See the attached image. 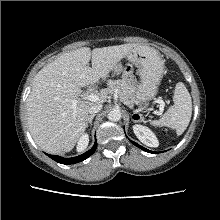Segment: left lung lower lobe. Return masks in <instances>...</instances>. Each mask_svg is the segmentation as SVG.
I'll return each instance as SVG.
<instances>
[{"instance_id": "0a47b994", "label": "left lung lower lobe", "mask_w": 220, "mask_h": 220, "mask_svg": "<svg viewBox=\"0 0 220 220\" xmlns=\"http://www.w3.org/2000/svg\"><path fill=\"white\" fill-rule=\"evenodd\" d=\"M131 143H133L135 146L139 147L140 149H142V150H144V151H146V152H149V153H157V152L150 151V150H148V149H146V148L140 146L139 144H137V143H135V142H133V141H131Z\"/></svg>"}]
</instances>
